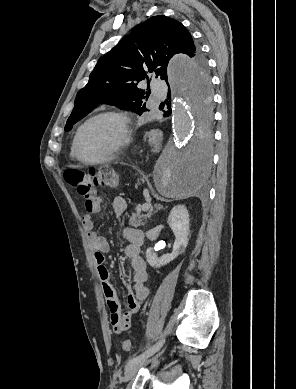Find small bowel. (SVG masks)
<instances>
[{
	"mask_svg": "<svg viewBox=\"0 0 296 389\" xmlns=\"http://www.w3.org/2000/svg\"><path fill=\"white\" fill-rule=\"evenodd\" d=\"M84 209L82 224L93 251L98 277L110 311L111 326L114 332L119 334L130 328L134 314L147 302L150 295V290L145 284L148 278L146 263L140 255L143 234L135 228L126 227L123 229V240L127 243L124 253L131 262L134 275L132 286L127 280L130 289L127 297L128 310L122 312L121 304L110 281L109 271L104 265L105 254L109 251L110 245L108 240L95 230L94 214L102 210L101 197L92 192L88 197H85ZM112 209L118 217H122L127 210L125 199L115 197L112 201Z\"/></svg>",
	"mask_w": 296,
	"mask_h": 389,
	"instance_id": "obj_1",
	"label": "small bowel"
}]
</instances>
